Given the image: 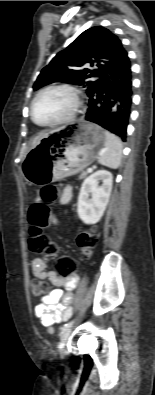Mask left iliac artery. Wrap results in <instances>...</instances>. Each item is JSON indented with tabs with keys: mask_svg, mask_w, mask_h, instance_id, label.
I'll return each instance as SVG.
<instances>
[{
	"mask_svg": "<svg viewBox=\"0 0 155 395\" xmlns=\"http://www.w3.org/2000/svg\"><path fill=\"white\" fill-rule=\"evenodd\" d=\"M73 323H74V321H70V322H68L67 324H65V325L61 328L62 333L65 332L68 328H70V327L73 325Z\"/></svg>",
	"mask_w": 155,
	"mask_h": 395,
	"instance_id": "obj_1",
	"label": "left iliac artery"
}]
</instances>
